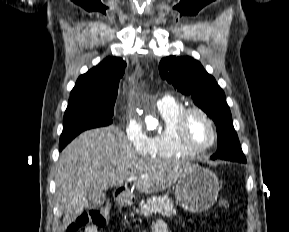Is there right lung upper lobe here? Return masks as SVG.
Instances as JSON below:
<instances>
[{"instance_id":"1","label":"right lung upper lobe","mask_w":289,"mask_h":232,"mask_svg":"<svg viewBox=\"0 0 289 232\" xmlns=\"http://www.w3.org/2000/svg\"><path fill=\"white\" fill-rule=\"evenodd\" d=\"M126 63L117 57H108L87 73L81 75L70 93V99L79 97H117L120 78ZM69 99V100H70Z\"/></svg>"}]
</instances>
